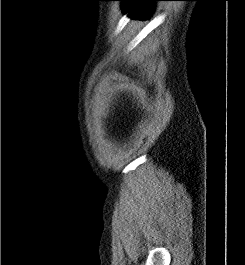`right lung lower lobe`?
Here are the masks:
<instances>
[{
	"mask_svg": "<svg viewBox=\"0 0 245 265\" xmlns=\"http://www.w3.org/2000/svg\"><path fill=\"white\" fill-rule=\"evenodd\" d=\"M125 3V12L130 11V15L135 19H147L153 12L151 1L159 0H119Z\"/></svg>",
	"mask_w": 245,
	"mask_h": 265,
	"instance_id": "obj_1",
	"label": "right lung lower lobe"
}]
</instances>
